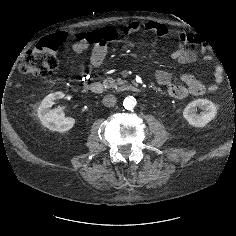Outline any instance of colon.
<instances>
[{
  "mask_svg": "<svg viewBox=\"0 0 236 236\" xmlns=\"http://www.w3.org/2000/svg\"><path fill=\"white\" fill-rule=\"evenodd\" d=\"M118 32L111 28L94 30L87 34H79L78 39L84 38L91 44L108 43L113 41ZM62 43L58 35L46 37L33 50H31L20 64L24 74L35 77H46L55 72L59 65L57 50Z\"/></svg>",
  "mask_w": 236,
  "mask_h": 236,
  "instance_id": "obj_1",
  "label": "colon"
}]
</instances>
